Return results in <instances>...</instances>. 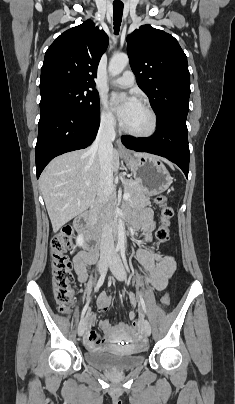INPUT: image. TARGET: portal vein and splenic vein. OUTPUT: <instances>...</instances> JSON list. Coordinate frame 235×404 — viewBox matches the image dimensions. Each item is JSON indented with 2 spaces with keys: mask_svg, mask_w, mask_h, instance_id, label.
Masks as SVG:
<instances>
[{
  "mask_svg": "<svg viewBox=\"0 0 235 404\" xmlns=\"http://www.w3.org/2000/svg\"><path fill=\"white\" fill-rule=\"evenodd\" d=\"M90 182H86V185H89ZM131 194L130 193H124L123 198L124 200H128L130 198Z\"/></svg>",
  "mask_w": 235,
  "mask_h": 404,
  "instance_id": "portal-vein-and-splenic-vein-1",
  "label": "portal vein and splenic vein"
}]
</instances>
